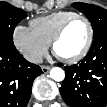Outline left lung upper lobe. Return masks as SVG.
I'll list each match as a JSON object with an SVG mask.
<instances>
[{
	"instance_id": "obj_1",
	"label": "left lung upper lobe",
	"mask_w": 107,
	"mask_h": 107,
	"mask_svg": "<svg viewBox=\"0 0 107 107\" xmlns=\"http://www.w3.org/2000/svg\"><path fill=\"white\" fill-rule=\"evenodd\" d=\"M73 7L84 13L89 19L94 31V39L107 35V10L92 4L75 2Z\"/></svg>"
}]
</instances>
